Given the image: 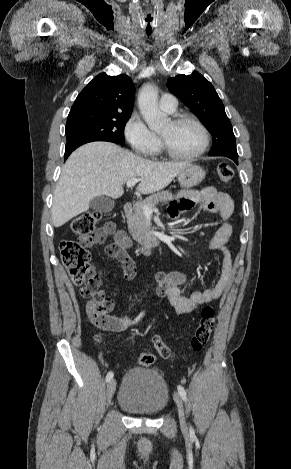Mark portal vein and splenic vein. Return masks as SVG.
I'll return each instance as SVG.
<instances>
[{"instance_id":"1","label":"portal vein and splenic vein","mask_w":291,"mask_h":469,"mask_svg":"<svg viewBox=\"0 0 291 469\" xmlns=\"http://www.w3.org/2000/svg\"><path fill=\"white\" fill-rule=\"evenodd\" d=\"M140 181V179L138 178H132L130 179L129 181H127V187L130 188V187H133L136 183H138ZM155 209L150 207V206H147V205H144L143 206V212L144 214H151L153 213Z\"/></svg>"}]
</instances>
